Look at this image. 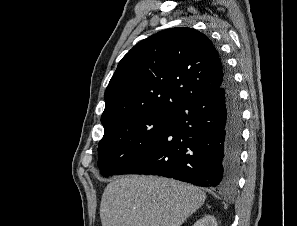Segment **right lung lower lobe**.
I'll use <instances>...</instances> for the list:
<instances>
[{"label": "right lung lower lobe", "instance_id": "1", "mask_svg": "<svg viewBox=\"0 0 297 226\" xmlns=\"http://www.w3.org/2000/svg\"><path fill=\"white\" fill-rule=\"evenodd\" d=\"M223 84L201 92L175 110L171 125L116 174H152L197 186H236L242 142V105L224 65Z\"/></svg>", "mask_w": 297, "mask_h": 226}]
</instances>
